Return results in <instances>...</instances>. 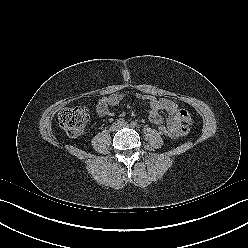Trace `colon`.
<instances>
[{"label": "colon", "instance_id": "5ec220e1", "mask_svg": "<svg viewBox=\"0 0 248 248\" xmlns=\"http://www.w3.org/2000/svg\"><path fill=\"white\" fill-rule=\"evenodd\" d=\"M89 120V111L84 106H77L62 110L58 115L59 126L70 137L76 138L84 134ZM159 133L172 138V132L167 125L159 126Z\"/></svg>", "mask_w": 248, "mask_h": 248}]
</instances>
